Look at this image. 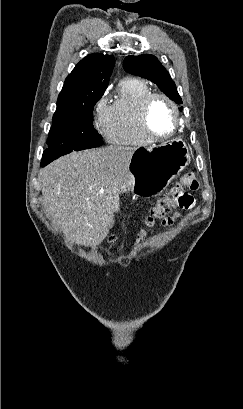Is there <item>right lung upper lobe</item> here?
<instances>
[{"label": "right lung upper lobe", "mask_w": 243, "mask_h": 409, "mask_svg": "<svg viewBox=\"0 0 243 409\" xmlns=\"http://www.w3.org/2000/svg\"><path fill=\"white\" fill-rule=\"evenodd\" d=\"M115 65L112 55L90 54L68 75L57 104L86 105L97 102L106 90Z\"/></svg>", "instance_id": "cb5924a9"}]
</instances>
